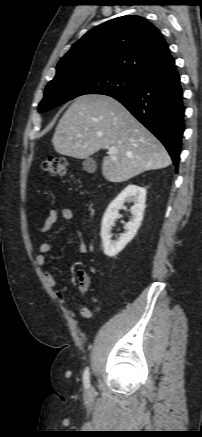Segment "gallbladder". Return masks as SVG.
<instances>
[{
	"mask_svg": "<svg viewBox=\"0 0 202 437\" xmlns=\"http://www.w3.org/2000/svg\"><path fill=\"white\" fill-rule=\"evenodd\" d=\"M83 167L87 172H94L96 169L95 161L91 158H88L83 162Z\"/></svg>",
	"mask_w": 202,
	"mask_h": 437,
	"instance_id": "obj_1",
	"label": "gallbladder"
}]
</instances>
